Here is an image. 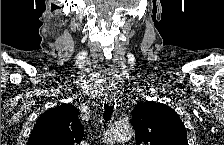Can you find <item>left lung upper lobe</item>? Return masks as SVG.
I'll list each match as a JSON object with an SVG mask.
<instances>
[{"instance_id": "left-lung-upper-lobe-1", "label": "left lung upper lobe", "mask_w": 224, "mask_h": 145, "mask_svg": "<svg viewBox=\"0 0 224 145\" xmlns=\"http://www.w3.org/2000/svg\"><path fill=\"white\" fill-rule=\"evenodd\" d=\"M132 125L137 145H188L183 122L165 104L139 102L132 112Z\"/></svg>"}]
</instances>
